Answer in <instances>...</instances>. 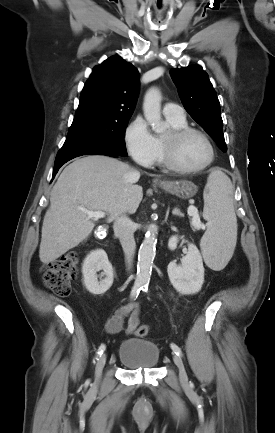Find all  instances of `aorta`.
<instances>
[{
  "mask_svg": "<svg viewBox=\"0 0 275 433\" xmlns=\"http://www.w3.org/2000/svg\"><path fill=\"white\" fill-rule=\"evenodd\" d=\"M143 112L148 124L156 133H162L165 129L161 120V93L156 88L149 89L144 97ZM157 232L150 228L138 251L136 284L146 287L149 284L153 260L156 255Z\"/></svg>",
  "mask_w": 275,
  "mask_h": 433,
  "instance_id": "1",
  "label": "aorta"
}]
</instances>
